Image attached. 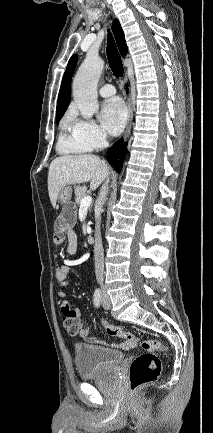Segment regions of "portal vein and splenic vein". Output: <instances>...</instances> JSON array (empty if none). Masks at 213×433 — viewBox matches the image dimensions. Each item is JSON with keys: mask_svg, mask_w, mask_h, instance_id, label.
<instances>
[{"mask_svg": "<svg viewBox=\"0 0 213 433\" xmlns=\"http://www.w3.org/2000/svg\"><path fill=\"white\" fill-rule=\"evenodd\" d=\"M92 203V197L86 196L81 200L80 208H88Z\"/></svg>", "mask_w": 213, "mask_h": 433, "instance_id": "18ae733b", "label": "portal vein and splenic vein"}]
</instances>
